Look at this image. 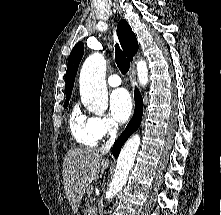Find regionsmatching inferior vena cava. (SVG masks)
<instances>
[{
	"mask_svg": "<svg viewBox=\"0 0 221 215\" xmlns=\"http://www.w3.org/2000/svg\"><path fill=\"white\" fill-rule=\"evenodd\" d=\"M116 133H117V132H116V129H113V130L111 131L109 140H108V141L106 142V144L103 145L102 148H101V151H102L103 153H108L109 150L111 149V147L113 146L114 141H115V139H116Z\"/></svg>",
	"mask_w": 221,
	"mask_h": 215,
	"instance_id": "602c4592",
	"label": "inferior vena cava"
}]
</instances>
